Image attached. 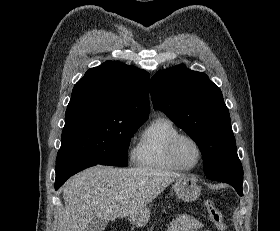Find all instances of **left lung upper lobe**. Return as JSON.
I'll return each instance as SVG.
<instances>
[{
	"label": "left lung upper lobe",
	"instance_id": "5c2ea615",
	"mask_svg": "<svg viewBox=\"0 0 280 231\" xmlns=\"http://www.w3.org/2000/svg\"><path fill=\"white\" fill-rule=\"evenodd\" d=\"M151 96L155 107L196 142L206 176L238 160L228 108L206 74L184 65L158 71Z\"/></svg>",
	"mask_w": 280,
	"mask_h": 231
}]
</instances>
